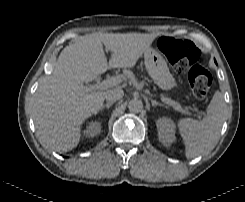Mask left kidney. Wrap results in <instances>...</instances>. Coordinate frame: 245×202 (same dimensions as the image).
<instances>
[{
	"label": "left kidney",
	"mask_w": 245,
	"mask_h": 202,
	"mask_svg": "<svg viewBox=\"0 0 245 202\" xmlns=\"http://www.w3.org/2000/svg\"><path fill=\"white\" fill-rule=\"evenodd\" d=\"M156 126L159 141L165 146H170L176 139L173 121L168 118H160L157 120Z\"/></svg>",
	"instance_id": "left-kidney-1"
}]
</instances>
